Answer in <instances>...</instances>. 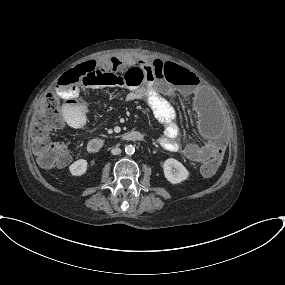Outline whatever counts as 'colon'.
Wrapping results in <instances>:
<instances>
[{"mask_svg": "<svg viewBox=\"0 0 285 285\" xmlns=\"http://www.w3.org/2000/svg\"><path fill=\"white\" fill-rule=\"evenodd\" d=\"M156 71L157 76L162 79L170 78L174 73L172 66L167 62L157 63ZM96 80H103L114 86L138 92L147 85L145 72L139 64L121 71L119 60L113 57H107L102 62L87 60L78 64L61 76L60 85L74 87ZM88 118L89 116L82 120L80 125L83 126ZM64 125L61 98L58 94L51 93L45 97L42 107L33 115L29 125L32 154L41 169L62 167L69 163L68 151L60 144L53 143L50 138L52 133L60 130ZM221 162L222 155L216 154L202 165V174L204 176L212 175Z\"/></svg>", "mask_w": 285, "mask_h": 285, "instance_id": "1", "label": "colon"}]
</instances>
